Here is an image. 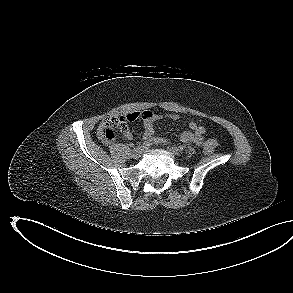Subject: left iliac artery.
<instances>
[{"label":"left iliac artery","instance_id":"left-iliac-artery-1","mask_svg":"<svg viewBox=\"0 0 293 293\" xmlns=\"http://www.w3.org/2000/svg\"><path fill=\"white\" fill-rule=\"evenodd\" d=\"M179 150H180V151H183V150H184V146H183V145H180V146H179Z\"/></svg>","mask_w":293,"mask_h":293}]
</instances>
